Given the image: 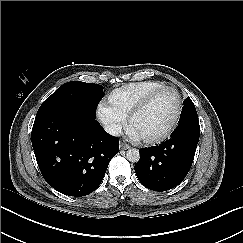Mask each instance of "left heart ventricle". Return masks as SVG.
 Returning a JSON list of instances; mask_svg holds the SVG:
<instances>
[{"mask_svg": "<svg viewBox=\"0 0 243 243\" xmlns=\"http://www.w3.org/2000/svg\"><path fill=\"white\" fill-rule=\"evenodd\" d=\"M177 104L175 93H164L152 100L137 116L134 127L146 136L160 134L170 123Z\"/></svg>", "mask_w": 243, "mask_h": 243, "instance_id": "1", "label": "left heart ventricle"}]
</instances>
